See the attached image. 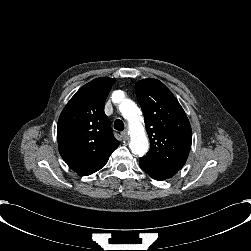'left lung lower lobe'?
Masks as SVG:
<instances>
[{
    "mask_svg": "<svg viewBox=\"0 0 251 251\" xmlns=\"http://www.w3.org/2000/svg\"><path fill=\"white\" fill-rule=\"evenodd\" d=\"M139 164L144 172L159 181L171 178L178 172V170L161 165L146 156L139 158Z\"/></svg>",
    "mask_w": 251,
    "mask_h": 251,
    "instance_id": "0a47b994",
    "label": "left lung lower lobe"
}]
</instances>
